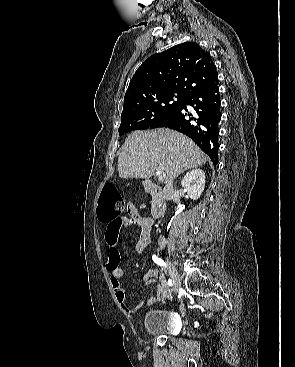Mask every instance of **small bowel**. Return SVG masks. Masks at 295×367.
<instances>
[{"mask_svg": "<svg viewBox=\"0 0 295 367\" xmlns=\"http://www.w3.org/2000/svg\"><path fill=\"white\" fill-rule=\"evenodd\" d=\"M126 210L128 213L127 216L105 222V241L109 250L106 269L110 273V282L117 302L124 311L132 314L142 306L143 302L136 306H130L127 302L125 290L121 285V278L123 277L124 271L121 267V255L118 248L119 235L121 229L125 226L135 225L139 227L140 233L137 239L136 249L139 252H142L151 242V232L154 221L150 217L141 215L138 209L132 203H127ZM151 283H156L157 287L155 293L146 302L148 306L162 301L168 295V288L159 270L150 269L142 276V285L146 286Z\"/></svg>", "mask_w": 295, "mask_h": 367, "instance_id": "1", "label": "small bowel"}]
</instances>
